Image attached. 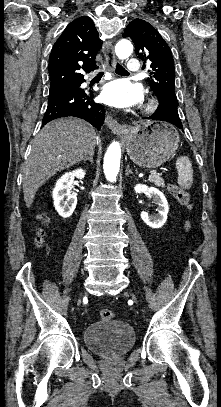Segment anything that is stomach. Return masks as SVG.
Here are the masks:
<instances>
[{
  "mask_svg": "<svg viewBox=\"0 0 221 407\" xmlns=\"http://www.w3.org/2000/svg\"><path fill=\"white\" fill-rule=\"evenodd\" d=\"M125 141L130 159L151 169L161 166L176 152L180 137L169 123L144 121L128 129Z\"/></svg>",
  "mask_w": 221,
  "mask_h": 407,
  "instance_id": "0dacf381",
  "label": "stomach"
}]
</instances>
